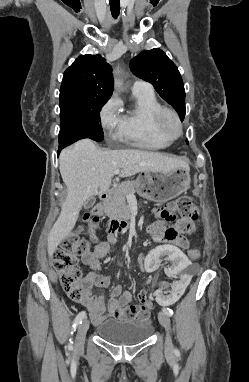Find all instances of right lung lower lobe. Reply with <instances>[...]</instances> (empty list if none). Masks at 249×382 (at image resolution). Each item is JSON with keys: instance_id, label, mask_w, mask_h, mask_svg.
<instances>
[{"instance_id": "right-lung-lower-lobe-1", "label": "right lung lower lobe", "mask_w": 249, "mask_h": 382, "mask_svg": "<svg viewBox=\"0 0 249 382\" xmlns=\"http://www.w3.org/2000/svg\"><path fill=\"white\" fill-rule=\"evenodd\" d=\"M63 148H64V147H59L58 154L60 153V151H61Z\"/></svg>"}]
</instances>
